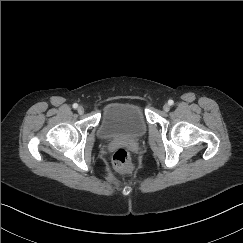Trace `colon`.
Wrapping results in <instances>:
<instances>
[{
	"label": "colon",
	"mask_w": 243,
	"mask_h": 243,
	"mask_svg": "<svg viewBox=\"0 0 243 243\" xmlns=\"http://www.w3.org/2000/svg\"><path fill=\"white\" fill-rule=\"evenodd\" d=\"M113 163L122 173H130L133 170L131 156L125 148H119L113 155Z\"/></svg>",
	"instance_id": "1"
}]
</instances>
